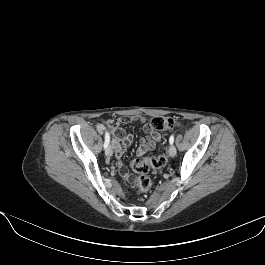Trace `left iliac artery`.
I'll return each instance as SVG.
<instances>
[{
  "mask_svg": "<svg viewBox=\"0 0 265 265\" xmlns=\"http://www.w3.org/2000/svg\"><path fill=\"white\" fill-rule=\"evenodd\" d=\"M173 142H174V136L171 135L170 138H169V143H170V144H173Z\"/></svg>",
  "mask_w": 265,
  "mask_h": 265,
  "instance_id": "obj_1",
  "label": "left iliac artery"
}]
</instances>
